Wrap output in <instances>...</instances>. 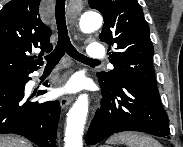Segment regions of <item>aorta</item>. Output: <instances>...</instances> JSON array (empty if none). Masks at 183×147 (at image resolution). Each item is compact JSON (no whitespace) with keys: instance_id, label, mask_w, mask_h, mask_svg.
I'll return each mask as SVG.
<instances>
[{"instance_id":"762f6f07","label":"aorta","mask_w":183,"mask_h":147,"mask_svg":"<svg viewBox=\"0 0 183 147\" xmlns=\"http://www.w3.org/2000/svg\"><path fill=\"white\" fill-rule=\"evenodd\" d=\"M102 16L96 12H85L79 18V27L85 33L94 32L102 26ZM88 95L81 94L67 115L65 147H83L82 135L88 114Z\"/></svg>"}]
</instances>
